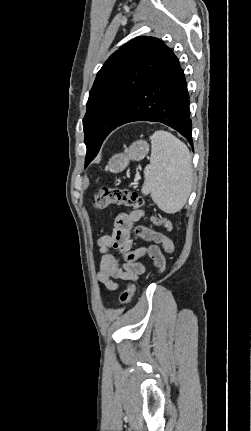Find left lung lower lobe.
<instances>
[{
	"label": "left lung lower lobe",
	"mask_w": 251,
	"mask_h": 431,
	"mask_svg": "<svg viewBox=\"0 0 251 431\" xmlns=\"http://www.w3.org/2000/svg\"><path fill=\"white\" fill-rule=\"evenodd\" d=\"M189 102L184 71L165 45L117 127L134 121L160 122L178 131L192 146Z\"/></svg>",
	"instance_id": "0a47b994"
}]
</instances>
